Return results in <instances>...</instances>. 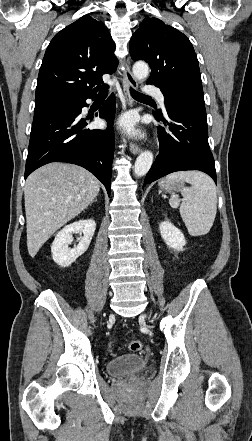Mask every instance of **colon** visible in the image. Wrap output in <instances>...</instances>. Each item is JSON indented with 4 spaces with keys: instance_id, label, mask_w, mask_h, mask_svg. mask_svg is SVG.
Returning a JSON list of instances; mask_svg holds the SVG:
<instances>
[{
    "instance_id": "colon-1",
    "label": "colon",
    "mask_w": 252,
    "mask_h": 441,
    "mask_svg": "<svg viewBox=\"0 0 252 441\" xmlns=\"http://www.w3.org/2000/svg\"><path fill=\"white\" fill-rule=\"evenodd\" d=\"M127 348L129 351L138 352L142 349V343L139 340H132L128 343Z\"/></svg>"
}]
</instances>
